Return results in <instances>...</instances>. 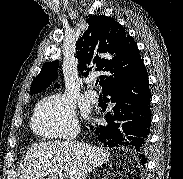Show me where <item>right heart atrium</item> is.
Listing matches in <instances>:
<instances>
[{
  "label": "right heart atrium",
  "instance_id": "1",
  "mask_svg": "<svg viewBox=\"0 0 183 179\" xmlns=\"http://www.w3.org/2000/svg\"><path fill=\"white\" fill-rule=\"evenodd\" d=\"M32 128L50 139L73 135L79 129L73 102L61 94L44 98L35 108Z\"/></svg>",
  "mask_w": 183,
  "mask_h": 179
}]
</instances>
